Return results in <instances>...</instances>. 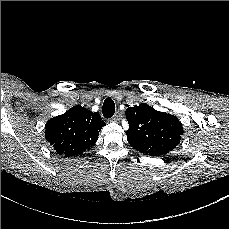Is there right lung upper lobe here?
Wrapping results in <instances>:
<instances>
[{
	"label": "right lung upper lobe",
	"instance_id": "1",
	"mask_svg": "<svg viewBox=\"0 0 229 229\" xmlns=\"http://www.w3.org/2000/svg\"><path fill=\"white\" fill-rule=\"evenodd\" d=\"M104 125L99 113L76 105L47 121L45 138L58 154L78 156L96 143Z\"/></svg>",
	"mask_w": 229,
	"mask_h": 229
}]
</instances>
